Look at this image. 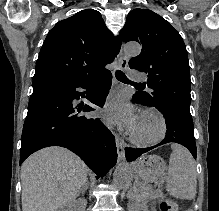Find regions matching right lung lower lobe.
I'll return each mask as SVG.
<instances>
[{
	"mask_svg": "<svg viewBox=\"0 0 219 211\" xmlns=\"http://www.w3.org/2000/svg\"><path fill=\"white\" fill-rule=\"evenodd\" d=\"M111 72L81 79H45L33 81V93L21 137L20 164L33 152L48 146H61L77 154L89 168L104 176L117 161L115 138L96 117L84 112L96 110L75 99L85 97L102 107L111 86Z\"/></svg>",
	"mask_w": 219,
	"mask_h": 211,
	"instance_id": "1",
	"label": "right lung lower lobe"
}]
</instances>
